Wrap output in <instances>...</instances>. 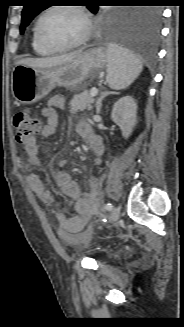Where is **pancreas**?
<instances>
[{
  "instance_id": "pancreas-1",
  "label": "pancreas",
  "mask_w": 184,
  "mask_h": 327,
  "mask_svg": "<svg viewBox=\"0 0 184 327\" xmlns=\"http://www.w3.org/2000/svg\"><path fill=\"white\" fill-rule=\"evenodd\" d=\"M94 99L91 97V92L83 91L80 94L74 95L70 101V113L74 114L85 110H91V104Z\"/></svg>"
}]
</instances>
